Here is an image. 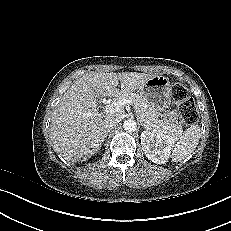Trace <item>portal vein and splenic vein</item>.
I'll return each instance as SVG.
<instances>
[{"label": "portal vein and splenic vein", "mask_w": 231, "mask_h": 231, "mask_svg": "<svg viewBox=\"0 0 231 231\" xmlns=\"http://www.w3.org/2000/svg\"><path fill=\"white\" fill-rule=\"evenodd\" d=\"M126 104H131V101L128 99H120L118 101H113L112 103L108 104L105 108V112L109 114H114L124 107Z\"/></svg>", "instance_id": "1"}]
</instances>
